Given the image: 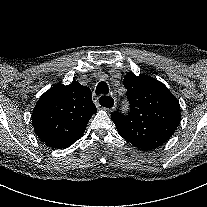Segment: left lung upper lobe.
I'll return each mask as SVG.
<instances>
[{"mask_svg": "<svg viewBox=\"0 0 207 207\" xmlns=\"http://www.w3.org/2000/svg\"><path fill=\"white\" fill-rule=\"evenodd\" d=\"M123 84L128 91L130 112L111 114L119 135L142 150L161 146L180 123L179 101L163 83L147 75L129 72Z\"/></svg>", "mask_w": 207, "mask_h": 207, "instance_id": "1", "label": "left lung upper lobe"}]
</instances>
